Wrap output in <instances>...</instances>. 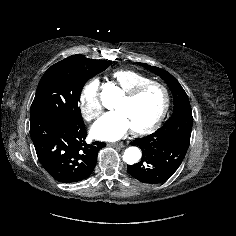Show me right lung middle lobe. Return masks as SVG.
Here are the masks:
<instances>
[{
    "label": "right lung middle lobe",
    "instance_id": "1",
    "mask_svg": "<svg viewBox=\"0 0 236 236\" xmlns=\"http://www.w3.org/2000/svg\"><path fill=\"white\" fill-rule=\"evenodd\" d=\"M110 61L84 67L56 63L42 76L31 105V120L53 118L83 124L78 101L84 84L104 71Z\"/></svg>",
    "mask_w": 236,
    "mask_h": 236
}]
</instances>
